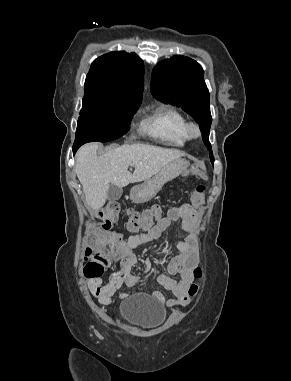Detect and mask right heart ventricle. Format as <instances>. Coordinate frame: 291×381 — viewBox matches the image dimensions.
I'll list each match as a JSON object with an SVG mask.
<instances>
[{"label": "right heart ventricle", "mask_w": 291, "mask_h": 381, "mask_svg": "<svg viewBox=\"0 0 291 381\" xmlns=\"http://www.w3.org/2000/svg\"><path fill=\"white\" fill-rule=\"evenodd\" d=\"M144 128L156 139L177 147L185 146L190 140L189 122L177 108L160 106L144 121Z\"/></svg>", "instance_id": "obj_1"}]
</instances>
